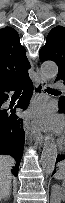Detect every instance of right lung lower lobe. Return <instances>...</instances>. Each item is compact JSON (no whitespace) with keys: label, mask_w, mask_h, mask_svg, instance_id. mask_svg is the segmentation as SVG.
I'll list each match as a JSON object with an SVG mask.
<instances>
[{"label":"right lung lower lobe","mask_w":65,"mask_h":203,"mask_svg":"<svg viewBox=\"0 0 65 203\" xmlns=\"http://www.w3.org/2000/svg\"><path fill=\"white\" fill-rule=\"evenodd\" d=\"M23 90L17 105L5 109L2 104L8 98L7 92ZM33 93V83L30 78H25L19 83L0 88V154L11 155L16 160V167L12 173L16 176L18 166L23 155L25 132L23 119L18 117L16 109L26 110Z\"/></svg>","instance_id":"right-lung-lower-lobe-1"}]
</instances>
